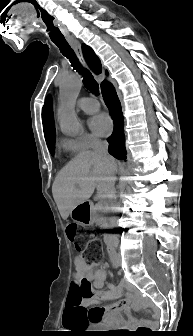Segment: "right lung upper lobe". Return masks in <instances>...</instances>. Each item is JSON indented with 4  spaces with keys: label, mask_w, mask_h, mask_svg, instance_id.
I'll list each match as a JSON object with an SVG mask.
<instances>
[{
    "label": "right lung upper lobe",
    "mask_w": 193,
    "mask_h": 336,
    "mask_svg": "<svg viewBox=\"0 0 193 336\" xmlns=\"http://www.w3.org/2000/svg\"><path fill=\"white\" fill-rule=\"evenodd\" d=\"M82 49H83L85 59L87 63L89 64V66L91 67V69L97 74L101 73V62L99 58L96 56V54L94 53V51L85 44L82 46ZM42 122H43V130H44L45 139H46V142H48L52 140L53 138H55V126H54V120H53L52 103L49 97L46 99L45 104L42 109Z\"/></svg>",
    "instance_id": "obj_1"
}]
</instances>
